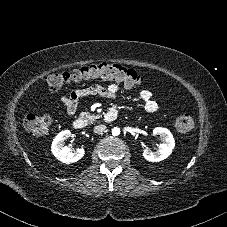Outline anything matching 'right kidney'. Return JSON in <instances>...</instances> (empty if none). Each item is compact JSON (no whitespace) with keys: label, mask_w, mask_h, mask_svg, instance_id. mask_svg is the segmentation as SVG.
<instances>
[{"label":"right kidney","mask_w":227,"mask_h":227,"mask_svg":"<svg viewBox=\"0 0 227 227\" xmlns=\"http://www.w3.org/2000/svg\"><path fill=\"white\" fill-rule=\"evenodd\" d=\"M71 132L65 130L60 132L53 140L51 151L53 155L65 164L77 162L84 156V149L78 148L75 152H70V149L65 146V140L69 138Z\"/></svg>","instance_id":"1"}]
</instances>
